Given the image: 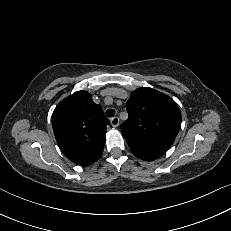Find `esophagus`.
Listing matches in <instances>:
<instances>
[{
	"mask_svg": "<svg viewBox=\"0 0 231 231\" xmlns=\"http://www.w3.org/2000/svg\"><path fill=\"white\" fill-rule=\"evenodd\" d=\"M110 123L113 127H117L120 123V120L118 117H113L111 120H110Z\"/></svg>",
	"mask_w": 231,
	"mask_h": 231,
	"instance_id": "34e87169",
	"label": "esophagus"
}]
</instances>
